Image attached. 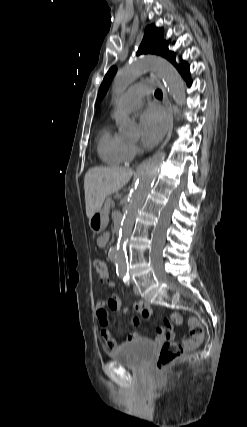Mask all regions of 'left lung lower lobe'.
Returning <instances> with one entry per match:
<instances>
[{
	"label": "left lung lower lobe",
	"instance_id": "1",
	"mask_svg": "<svg viewBox=\"0 0 247 427\" xmlns=\"http://www.w3.org/2000/svg\"><path fill=\"white\" fill-rule=\"evenodd\" d=\"M176 68L183 75V77L187 80L188 86H190L191 80L189 78V75H190L189 66L185 62H183L181 65H177Z\"/></svg>",
	"mask_w": 247,
	"mask_h": 427
}]
</instances>
